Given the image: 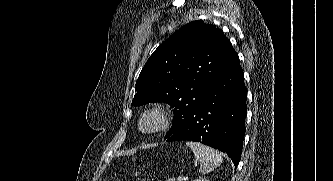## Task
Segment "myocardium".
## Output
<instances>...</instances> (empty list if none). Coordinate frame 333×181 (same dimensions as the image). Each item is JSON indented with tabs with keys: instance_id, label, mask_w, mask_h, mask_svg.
<instances>
[{
	"instance_id": "myocardium-1",
	"label": "myocardium",
	"mask_w": 333,
	"mask_h": 181,
	"mask_svg": "<svg viewBox=\"0 0 333 181\" xmlns=\"http://www.w3.org/2000/svg\"><path fill=\"white\" fill-rule=\"evenodd\" d=\"M172 121L168 107L155 103L145 108L138 119V130L144 135H153L166 130Z\"/></svg>"
}]
</instances>
